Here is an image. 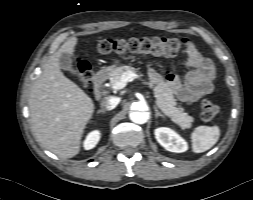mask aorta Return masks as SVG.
Wrapping results in <instances>:
<instances>
[{
  "label": "aorta",
  "instance_id": "762f6f07",
  "mask_svg": "<svg viewBox=\"0 0 253 200\" xmlns=\"http://www.w3.org/2000/svg\"><path fill=\"white\" fill-rule=\"evenodd\" d=\"M147 105L144 102H136L129 114L131 121L137 124H144L148 121L149 115L146 112Z\"/></svg>",
  "mask_w": 253,
  "mask_h": 200
}]
</instances>
